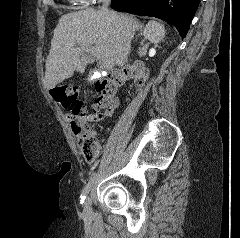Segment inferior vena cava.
<instances>
[{
  "mask_svg": "<svg viewBox=\"0 0 240 238\" xmlns=\"http://www.w3.org/2000/svg\"><path fill=\"white\" fill-rule=\"evenodd\" d=\"M102 2V7H101V13L105 14V15H110L111 12L108 9V6L110 5L111 0H101ZM134 33H132L130 35V40L133 38Z\"/></svg>",
  "mask_w": 240,
  "mask_h": 238,
  "instance_id": "602c4592",
  "label": "inferior vena cava"
}]
</instances>
